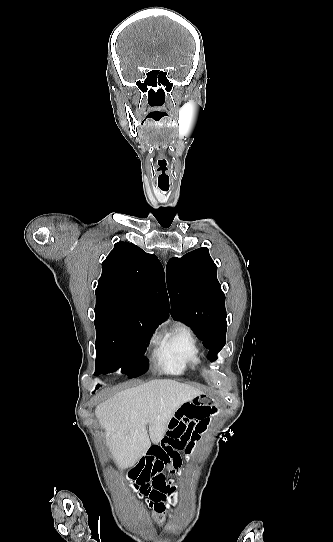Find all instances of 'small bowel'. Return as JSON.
<instances>
[{"mask_svg":"<svg viewBox=\"0 0 333 542\" xmlns=\"http://www.w3.org/2000/svg\"><path fill=\"white\" fill-rule=\"evenodd\" d=\"M174 413L162 443L149 447L125 476L136 482L138 500L157 519L166 513V502L174 489V480L165 476L164 468L169 466L172 472L178 470L181 467L180 452L187 458L193 455L214 411L194 400H187L185 405H178ZM215 416H219V413H215Z\"/></svg>","mask_w":333,"mask_h":542,"instance_id":"obj_1","label":"small bowel"}]
</instances>
